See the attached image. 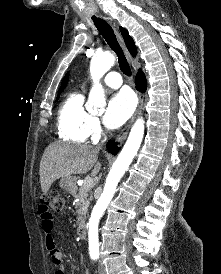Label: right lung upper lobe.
Wrapping results in <instances>:
<instances>
[{
    "label": "right lung upper lobe",
    "mask_w": 221,
    "mask_h": 274,
    "mask_svg": "<svg viewBox=\"0 0 221 274\" xmlns=\"http://www.w3.org/2000/svg\"><path fill=\"white\" fill-rule=\"evenodd\" d=\"M120 30H121V34L124 38V41L126 43V46L128 48V50L130 51V53L135 56L136 53H137V50H136V47H135V44H134V41L132 39V37L128 34V31L122 27H120ZM67 80H68V75L65 76V79L63 80L61 86H60V89L59 91L61 92L64 87L66 86L67 84ZM60 92L58 93V95L60 94Z\"/></svg>",
    "instance_id": "1"
}]
</instances>
